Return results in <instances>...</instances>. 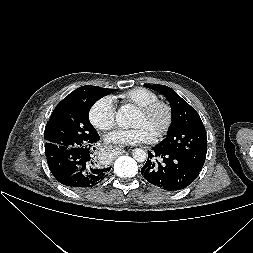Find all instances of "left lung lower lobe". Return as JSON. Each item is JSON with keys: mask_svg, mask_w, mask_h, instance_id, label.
<instances>
[{"mask_svg": "<svg viewBox=\"0 0 253 253\" xmlns=\"http://www.w3.org/2000/svg\"><path fill=\"white\" fill-rule=\"evenodd\" d=\"M201 169L183 158L162 150L158 146L149 151L141 168L142 176L152 185L167 191H178L189 186Z\"/></svg>", "mask_w": 253, "mask_h": 253, "instance_id": "obj_1", "label": "left lung lower lobe"}]
</instances>
